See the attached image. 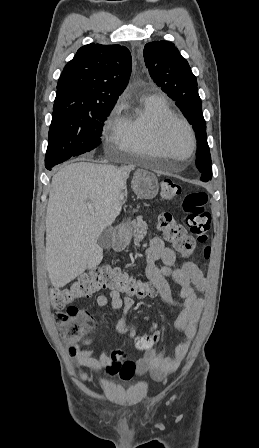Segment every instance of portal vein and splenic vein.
<instances>
[{"label": "portal vein and splenic vein", "instance_id": "1", "mask_svg": "<svg viewBox=\"0 0 259 448\" xmlns=\"http://www.w3.org/2000/svg\"><path fill=\"white\" fill-rule=\"evenodd\" d=\"M91 214H94L93 210H91Z\"/></svg>", "mask_w": 259, "mask_h": 448}]
</instances>
